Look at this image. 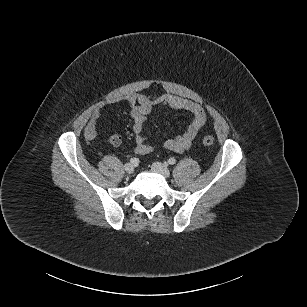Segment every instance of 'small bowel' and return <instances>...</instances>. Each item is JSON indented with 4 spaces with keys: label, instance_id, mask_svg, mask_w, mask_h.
<instances>
[{
    "label": "small bowel",
    "instance_id": "c3829d8e",
    "mask_svg": "<svg viewBox=\"0 0 307 307\" xmlns=\"http://www.w3.org/2000/svg\"><path fill=\"white\" fill-rule=\"evenodd\" d=\"M129 107V116L133 121V132L135 141V152L146 155L154 150V147L146 142L143 135V127L149 123L148 115L156 106H167L173 110H185L192 115V121L181 135L167 139L164 147L177 153L188 150L206 121V114L201 104L176 95L163 94L157 98H150L144 94H129L123 97ZM102 113V108L96 109L86 128L89 138L96 135V125Z\"/></svg>",
    "mask_w": 307,
    "mask_h": 307
}]
</instances>
